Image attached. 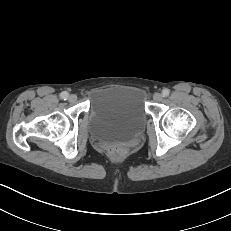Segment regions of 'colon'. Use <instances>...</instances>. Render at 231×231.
Wrapping results in <instances>:
<instances>
[{
	"label": "colon",
	"mask_w": 231,
	"mask_h": 231,
	"mask_svg": "<svg viewBox=\"0 0 231 231\" xmlns=\"http://www.w3.org/2000/svg\"><path fill=\"white\" fill-rule=\"evenodd\" d=\"M109 153L114 157H122L127 152V147L123 144H112L108 147Z\"/></svg>",
	"instance_id": "5ec220e1"
}]
</instances>
